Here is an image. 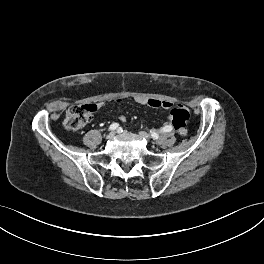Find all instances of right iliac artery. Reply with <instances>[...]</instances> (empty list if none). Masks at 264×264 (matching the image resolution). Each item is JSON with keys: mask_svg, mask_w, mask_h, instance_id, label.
Masks as SVG:
<instances>
[{"mask_svg": "<svg viewBox=\"0 0 264 264\" xmlns=\"http://www.w3.org/2000/svg\"><path fill=\"white\" fill-rule=\"evenodd\" d=\"M118 127H119L118 123H113L110 125L109 130L113 131V130H116Z\"/></svg>", "mask_w": 264, "mask_h": 264, "instance_id": "obj_1", "label": "right iliac artery"}]
</instances>
